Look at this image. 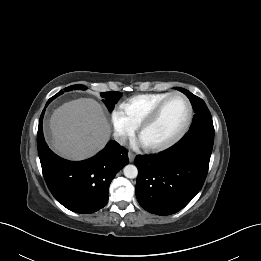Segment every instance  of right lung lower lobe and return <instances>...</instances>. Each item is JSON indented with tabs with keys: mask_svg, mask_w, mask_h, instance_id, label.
Returning <instances> with one entry per match:
<instances>
[{
	"mask_svg": "<svg viewBox=\"0 0 261 261\" xmlns=\"http://www.w3.org/2000/svg\"><path fill=\"white\" fill-rule=\"evenodd\" d=\"M56 97H52L46 106ZM43 110L38 126L37 146L42 172L47 186L67 209L77 213H93L108 202L109 185L115 175L128 164L127 150L116 141L94 157L71 162L59 158L47 146L43 131Z\"/></svg>",
	"mask_w": 261,
	"mask_h": 261,
	"instance_id": "obj_1",
	"label": "right lung lower lobe"
}]
</instances>
